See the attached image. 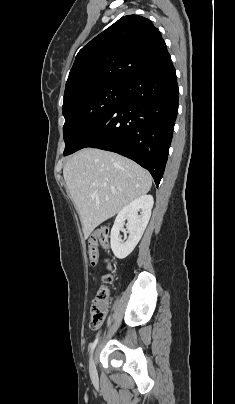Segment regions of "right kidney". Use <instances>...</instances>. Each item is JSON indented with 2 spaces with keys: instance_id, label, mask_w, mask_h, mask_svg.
<instances>
[{
  "instance_id": "right-kidney-1",
  "label": "right kidney",
  "mask_w": 235,
  "mask_h": 404,
  "mask_svg": "<svg viewBox=\"0 0 235 404\" xmlns=\"http://www.w3.org/2000/svg\"><path fill=\"white\" fill-rule=\"evenodd\" d=\"M154 204L151 195H143L125 206L117 215L111 229L110 242L114 255L119 259L127 257L136 247L149 222ZM141 210L140 215L138 211ZM127 220V237L125 242L120 240V231Z\"/></svg>"
}]
</instances>
